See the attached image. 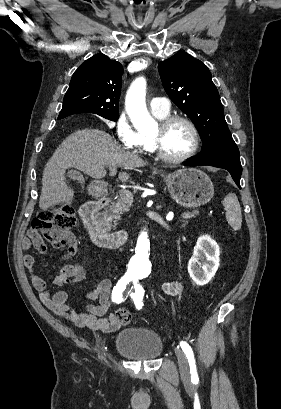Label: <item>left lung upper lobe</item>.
<instances>
[{"label":"left lung upper lobe","mask_w":281,"mask_h":409,"mask_svg":"<svg viewBox=\"0 0 281 409\" xmlns=\"http://www.w3.org/2000/svg\"><path fill=\"white\" fill-rule=\"evenodd\" d=\"M158 70L167 94L190 117L200 134L203 147L197 156H239L207 66L180 51L159 62Z\"/></svg>","instance_id":"1"}]
</instances>
